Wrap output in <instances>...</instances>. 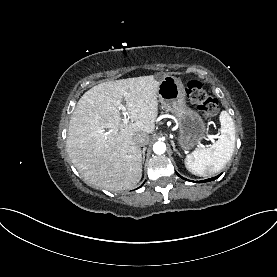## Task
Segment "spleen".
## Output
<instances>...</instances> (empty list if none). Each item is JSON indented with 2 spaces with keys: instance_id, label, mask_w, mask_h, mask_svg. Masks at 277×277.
Instances as JSON below:
<instances>
[{
  "instance_id": "1",
  "label": "spleen",
  "mask_w": 277,
  "mask_h": 277,
  "mask_svg": "<svg viewBox=\"0 0 277 277\" xmlns=\"http://www.w3.org/2000/svg\"><path fill=\"white\" fill-rule=\"evenodd\" d=\"M220 120V137L209 148L194 150L185 158L188 171L197 176L209 177L220 170L231 159L235 148V126L227 111H222Z\"/></svg>"
}]
</instances>
